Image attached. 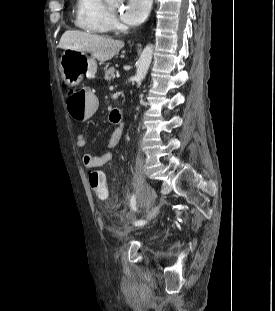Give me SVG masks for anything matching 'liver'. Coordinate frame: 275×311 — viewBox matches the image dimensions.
<instances>
[{
    "instance_id": "liver-1",
    "label": "liver",
    "mask_w": 275,
    "mask_h": 311,
    "mask_svg": "<svg viewBox=\"0 0 275 311\" xmlns=\"http://www.w3.org/2000/svg\"><path fill=\"white\" fill-rule=\"evenodd\" d=\"M124 46L121 40H114L83 31H66L59 42L62 49H73L91 53L100 62L112 59Z\"/></svg>"
}]
</instances>
